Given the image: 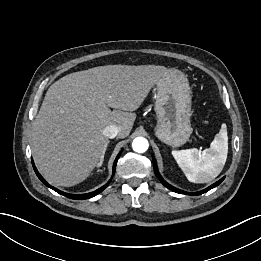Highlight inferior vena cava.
<instances>
[{"label": "inferior vena cava", "mask_w": 261, "mask_h": 261, "mask_svg": "<svg viewBox=\"0 0 261 261\" xmlns=\"http://www.w3.org/2000/svg\"><path fill=\"white\" fill-rule=\"evenodd\" d=\"M119 133V128L115 125H109L107 126L104 131H103V135L107 138H115Z\"/></svg>", "instance_id": "1"}]
</instances>
